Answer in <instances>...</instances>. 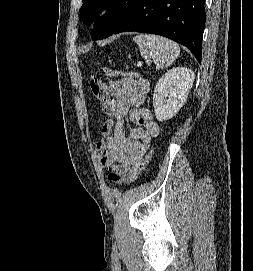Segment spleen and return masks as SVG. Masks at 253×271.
Returning a JSON list of instances; mask_svg holds the SVG:
<instances>
[{"mask_svg":"<svg viewBox=\"0 0 253 271\" xmlns=\"http://www.w3.org/2000/svg\"><path fill=\"white\" fill-rule=\"evenodd\" d=\"M133 41L138 44L141 56L153 59L158 69L171 66L180 53V48L174 41L158 35L140 34Z\"/></svg>","mask_w":253,"mask_h":271,"instance_id":"spleen-1","label":"spleen"}]
</instances>
